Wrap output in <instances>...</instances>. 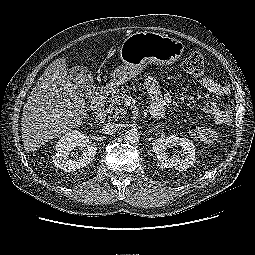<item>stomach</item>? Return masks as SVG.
Here are the masks:
<instances>
[{"label": "stomach", "instance_id": "0dacf381", "mask_svg": "<svg viewBox=\"0 0 255 255\" xmlns=\"http://www.w3.org/2000/svg\"><path fill=\"white\" fill-rule=\"evenodd\" d=\"M184 52L182 42L155 32H138L129 35L121 45L123 65L111 74L115 86L135 78L148 64L169 65Z\"/></svg>", "mask_w": 255, "mask_h": 255}]
</instances>
